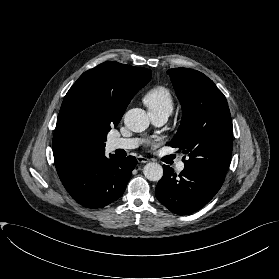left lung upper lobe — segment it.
I'll list each match as a JSON object with an SVG mask.
<instances>
[{
	"instance_id": "obj_1",
	"label": "left lung upper lobe",
	"mask_w": 279,
	"mask_h": 279,
	"mask_svg": "<svg viewBox=\"0 0 279 279\" xmlns=\"http://www.w3.org/2000/svg\"><path fill=\"white\" fill-rule=\"evenodd\" d=\"M181 102L183 117L170 145L188 155L187 170L223 184L231 160L233 125L227 100L203 73L167 71Z\"/></svg>"
}]
</instances>
